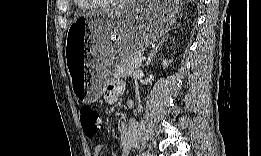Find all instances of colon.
<instances>
[{"instance_id":"colon-1","label":"colon","mask_w":261,"mask_h":156,"mask_svg":"<svg viewBox=\"0 0 261 156\" xmlns=\"http://www.w3.org/2000/svg\"><path fill=\"white\" fill-rule=\"evenodd\" d=\"M82 129L88 138H94L101 127L100 114L89 106H82L79 110Z\"/></svg>"}]
</instances>
